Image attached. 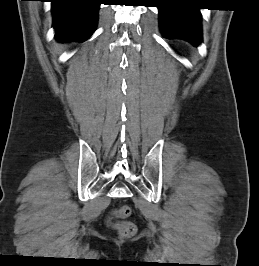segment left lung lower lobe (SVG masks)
<instances>
[{
    "label": "left lung lower lobe",
    "instance_id": "0a47b994",
    "mask_svg": "<svg viewBox=\"0 0 259 266\" xmlns=\"http://www.w3.org/2000/svg\"><path fill=\"white\" fill-rule=\"evenodd\" d=\"M160 27L167 38L181 37L194 45L202 41L198 8L188 7L180 0H159Z\"/></svg>",
    "mask_w": 259,
    "mask_h": 266
}]
</instances>
